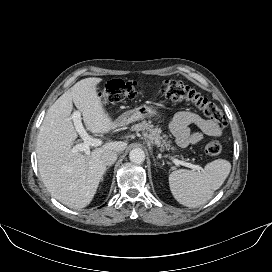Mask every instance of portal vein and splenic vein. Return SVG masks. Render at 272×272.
<instances>
[{"label": "portal vein and splenic vein", "mask_w": 272, "mask_h": 272, "mask_svg": "<svg viewBox=\"0 0 272 272\" xmlns=\"http://www.w3.org/2000/svg\"><path fill=\"white\" fill-rule=\"evenodd\" d=\"M71 118L73 119L74 126L76 131L79 133L80 137L82 138L83 142L80 144L75 145L72 149V153H77L79 151L85 152L86 155L90 154V147H97L102 145V141L100 139H96L93 137H90L85 129L83 128L82 122H81V113L79 111H74ZM173 163L177 166L183 165L188 168H191L192 170H203V168L199 165H194L185 161H180L178 159H173Z\"/></svg>", "instance_id": "1"}]
</instances>
